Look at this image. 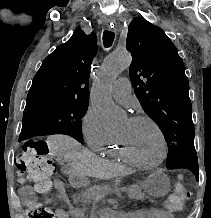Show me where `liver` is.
<instances>
[{
	"mask_svg": "<svg viewBox=\"0 0 211 218\" xmlns=\"http://www.w3.org/2000/svg\"><path fill=\"white\" fill-rule=\"evenodd\" d=\"M50 154L70 162L69 174L94 176V178H117L124 176L126 168L98 158L96 154L84 150L79 142L70 136H50L47 140Z\"/></svg>",
	"mask_w": 211,
	"mask_h": 218,
	"instance_id": "liver-1",
	"label": "liver"
}]
</instances>
